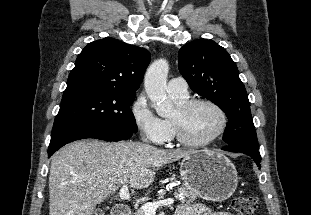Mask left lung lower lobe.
Segmentation results:
<instances>
[{
  "label": "left lung lower lobe",
  "instance_id": "obj_1",
  "mask_svg": "<svg viewBox=\"0 0 311 215\" xmlns=\"http://www.w3.org/2000/svg\"><path fill=\"white\" fill-rule=\"evenodd\" d=\"M222 150L232 151V152H241V153L247 154L255 161L257 166H260L261 156H260L258 149H255L249 146H244V145H229V146L223 147Z\"/></svg>",
  "mask_w": 311,
  "mask_h": 215
}]
</instances>
